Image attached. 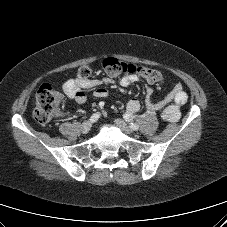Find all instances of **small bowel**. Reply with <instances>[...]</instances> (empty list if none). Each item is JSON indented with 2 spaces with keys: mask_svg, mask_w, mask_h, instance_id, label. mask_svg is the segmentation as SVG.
I'll return each mask as SVG.
<instances>
[{
  "mask_svg": "<svg viewBox=\"0 0 227 227\" xmlns=\"http://www.w3.org/2000/svg\"><path fill=\"white\" fill-rule=\"evenodd\" d=\"M139 81L136 74H127L120 79V85L128 87ZM111 79H92L84 80L70 79L66 81L62 88L65 94L74 99L79 104H84L87 101V95L84 90L94 89L93 95L96 98H106L108 91L102 85L111 83ZM188 96L183 90L181 84H176L174 88L163 98L156 99L154 91L151 87L146 88L145 102L146 106L151 111L162 110V117L168 122H177L181 116V106L186 103ZM126 115L132 117L135 113L140 111L141 104L136 99H131L126 103Z\"/></svg>",
  "mask_w": 227,
  "mask_h": 227,
  "instance_id": "c3829d8e",
  "label": "small bowel"
}]
</instances>
